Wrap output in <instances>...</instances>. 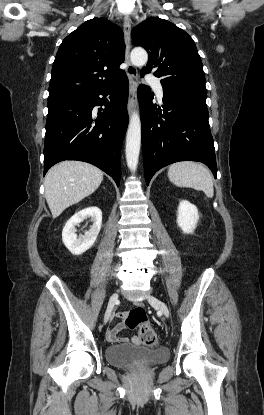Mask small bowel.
I'll return each instance as SVG.
<instances>
[{"instance_id": "small-bowel-1", "label": "small bowel", "mask_w": 264, "mask_h": 415, "mask_svg": "<svg viewBox=\"0 0 264 415\" xmlns=\"http://www.w3.org/2000/svg\"><path fill=\"white\" fill-rule=\"evenodd\" d=\"M124 316H125L124 312H117L114 315V319H122L124 318ZM125 329L126 327L123 322H117V323L112 324V326L107 329L106 334H105L107 342L112 345L127 343L129 339L127 337L120 335V333ZM131 341L132 343L136 345L141 344L140 338L136 336L132 337Z\"/></svg>"}]
</instances>
